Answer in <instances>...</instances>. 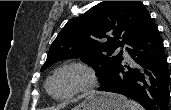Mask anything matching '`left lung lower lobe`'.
<instances>
[{
	"instance_id": "obj_1",
	"label": "left lung lower lobe",
	"mask_w": 171,
	"mask_h": 110,
	"mask_svg": "<svg viewBox=\"0 0 171 110\" xmlns=\"http://www.w3.org/2000/svg\"><path fill=\"white\" fill-rule=\"evenodd\" d=\"M128 46L126 49L136 66L131 68L122 58L98 90L125 95L146 110H169L171 86L167 57L158 28L150 16Z\"/></svg>"
}]
</instances>
